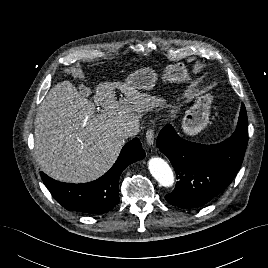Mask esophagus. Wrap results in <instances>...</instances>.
<instances>
[{
    "label": "esophagus",
    "instance_id": "1",
    "mask_svg": "<svg viewBox=\"0 0 268 268\" xmlns=\"http://www.w3.org/2000/svg\"><path fill=\"white\" fill-rule=\"evenodd\" d=\"M155 132L152 127H149L145 133V141L147 146L151 147L154 144Z\"/></svg>",
    "mask_w": 268,
    "mask_h": 268
}]
</instances>
